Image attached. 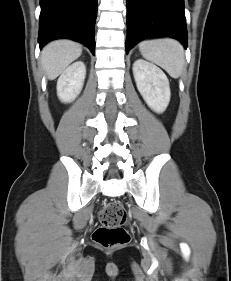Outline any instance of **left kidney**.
Returning a JSON list of instances; mask_svg holds the SVG:
<instances>
[{
  "instance_id": "obj_1",
  "label": "left kidney",
  "mask_w": 231,
  "mask_h": 281,
  "mask_svg": "<svg viewBox=\"0 0 231 281\" xmlns=\"http://www.w3.org/2000/svg\"><path fill=\"white\" fill-rule=\"evenodd\" d=\"M133 74L137 88L147 105L156 113L164 112L171 94L165 73L156 65L138 59L133 64Z\"/></svg>"
}]
</instances>
